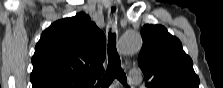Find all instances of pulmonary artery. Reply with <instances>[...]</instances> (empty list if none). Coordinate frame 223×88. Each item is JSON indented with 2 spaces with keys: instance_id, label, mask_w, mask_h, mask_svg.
Segmentation results:
<instances>
[{
  "instance_id": "pulmonary-artery-1",
  "label": "pulmonary artery",
  "mask_w": 223,
  "mask_h": 88,
  "mask_svg": "<svg viewBox=\"0 0 223 88\" xmlns=\"http://www.w3.org/2000/svg\"><path fill=\"white\" fill-rule=\"evenodd\" d=\"M129 83L132 85H138L141 83L142 80V75L141 72L139 70H131L129 73Z\"/></svg>"
}]
</instances>
